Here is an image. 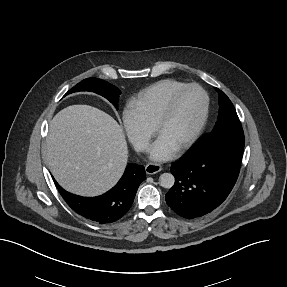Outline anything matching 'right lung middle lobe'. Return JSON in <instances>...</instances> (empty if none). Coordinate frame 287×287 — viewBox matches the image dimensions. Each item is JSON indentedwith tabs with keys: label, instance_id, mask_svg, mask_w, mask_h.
Listing matches in <instances>:
<instances>
[{
	"label": "right lung middle lobe",
	"instance_id": "dd1d6c3e",
	"mask_svg": "<svg viewBox=\"0 0 287 287\" xmlns=\"http://www.w3.org/2000/svg\"><path fill=\"white\" fill-rule=\"evenodd\" d=\"M77 91H91L97 93L108 99L115 106H117L119 95L121 94V91L117 87L98 78H88L81 81L67 94Z\"/></svg>",
	"mask_w": 287,
	"mask_h": 287
}]
</instances>
